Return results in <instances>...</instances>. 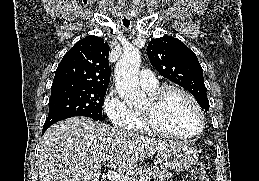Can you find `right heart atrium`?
Here are the masks:
<instances>
[{
	"label": "right heart atrium",
	"instance_id": "1",
	"mask_svg": "<svg viewBox=\"0 0 259 181\" xmlns=\"http://www.w3.org/2000/svg\"><path fill=\"white\" fill-rule=\"evenodd\" d=\"M103 110L116 129H130L133 122V111L127 106L125 101L115 91L107 93L103 101Z\"/></svg>",
	"mask_w": 259,
	"mask_h": 181
}]
</instances>
